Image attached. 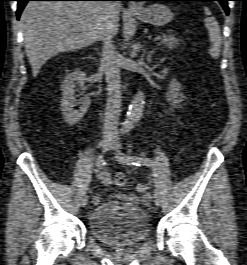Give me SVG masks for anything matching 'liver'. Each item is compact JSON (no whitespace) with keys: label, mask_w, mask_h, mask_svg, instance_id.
Masks as SVG:
<instances>
[{"label":"liver","mask_w":247,"mask_h":265,"mask_svg":"<svg viewBox=\"0 0 247 265\" xmlns=\"http://www.w3.org/2000/svg\"><path fill=\"white\" fill-rule=\"evenodd\" d=\"M119 11V3L110 10L104 2H28L20 22L33 76L53 56L102 40L106 30L113 38L118 32Z\"/></svg>","instance_id":"6515ba94"}]
</instances>
